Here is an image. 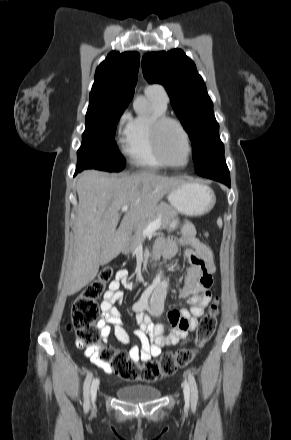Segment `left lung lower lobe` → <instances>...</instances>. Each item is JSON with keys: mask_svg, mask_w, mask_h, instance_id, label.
<instances>
[{"mask_svg": "<svg viewBox=\"0 0 291 440\" xmlns=\"http://www.w3.org/2000/svg\"><path fill=\"white\" fill-rule=\"evenodd\" d=\"M195 173L199 176L219 181L230 187V173L224 155L213 160L206 168L195 171Z\"/></svg>", "mask_w": 291, "mask_h": 440, "instance_id": "obj_1", "label": "left lung lower lobe"}]
</instances>
